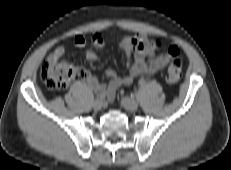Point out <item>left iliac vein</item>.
Segmentation results:
<instances>
[{"mask_svg":"<svg viewBox=\"0 0 231 170\" xmlns=\"http://www.w3.org/2000/svg\"><path fill=\"white\" fill-rule=\"evenodd\" d=\"M121 104L123 105L124 108H126L127 110L132 111V112L137 111V109L139 107L138 103L128 96H124L121 99Z\"/></svg>","mask_w":231,"mask_h":170,"instance_id":"left-iliac-vein-1","label":"left iliac vein"}]
</instances>
